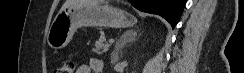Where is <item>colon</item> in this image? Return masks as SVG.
<instances>
[{
	"label": "colon",
	"instance_id": "colon-1",
	"mask_svg": "<svg viewBox=\"0 0 244 73\" xmlns=\"http://www.w3.org/2000/svg\"><path fill=\"white\" fill-rule=\"evenodd\" d=\"M75 63L73 60H66L56 69L55 73H73Z\"/></svg>",
	"mask_w": 244,
	"mask_h": 73
}]
</instances>
